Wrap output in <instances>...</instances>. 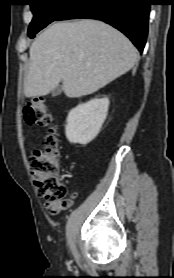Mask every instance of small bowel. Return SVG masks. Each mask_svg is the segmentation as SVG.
<instances>
[{
	"mask_svg": "<svg viewBox=\"0 0 174 278\" xmlns=\"http://www.w3.org/2000/svg\"><path fill=\"white\" fill-rule=\"evenodd\" d=\"M73 204V200L69 199L65 203L48 204L46 203V208L51 214H57L61 210L69 208Z\"/></svg>",
	"mask_w": 174,
	"mask_h": 278,
	"instance_id": "c3829d8e",
	"label": "small bowel"
}]
</instances>
